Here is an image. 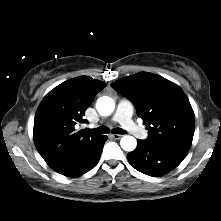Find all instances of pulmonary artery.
<instances>
[{"mask_svg": "<svg viewBox=\"0 0 221 221\" xmlns=\"http://www.w3.org/2000/svg\"><path fill=\"white\" fill-rule=\"evenodd\" d=\"M132 112L133 108L131 103L127 100H121L117 106L112 121L119 123L125 130L135 137L144 139L147 137V133L132 120Z\"/></svg>", "mask_w": 221, "mask_h": 221, "instance_id": "obj_1", "label": "pulmonary artery"}]
</instances>
